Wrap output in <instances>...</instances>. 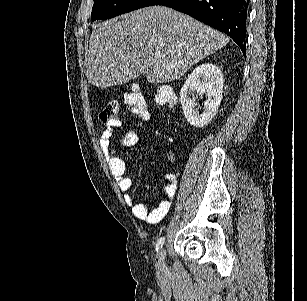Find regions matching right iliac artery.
Masks as SVG:
<instances>
[{
	"instance_id": "1",
	"label": "right iliac artery",
	"mask_w": 307,
	"mask_h": 301,
	"mask_svg": "<svg viewBox=\"0 0 307 301\" xmlns=\"http://www.w3.org/2000/svg\"><path fill=\"white\" fill-rule=\"evenodd\" d=\"M164 237H161L158 239L157 244H156V251L158 252L160 248H162L163 244H164Z\"/></svg>"
}]
</instances>
